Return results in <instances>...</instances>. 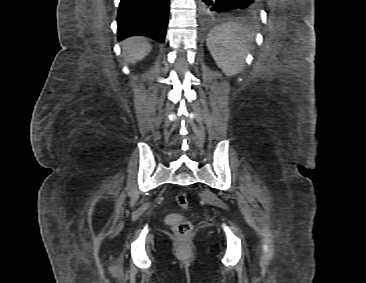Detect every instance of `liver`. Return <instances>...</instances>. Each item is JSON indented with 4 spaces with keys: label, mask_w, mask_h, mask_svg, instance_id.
I'll use <instances>...</instances> for the list:
<instances>
[{
    "label": "liver",
    "mask_w": 366,
    "mask_h": 283,
    "mask_svg": "<svg viewBox=\"0 0 366 283\" xmlns=\"http://www.w3.org/2000/svg\"><path fill=\"white\" fill-rule=\"evenodd\" d=\"M123 54L127 62L136 63L146 57L151 51V44L141 36H133L122 42Z\"/></svg>",
    "instance_id": "liver-1"
}]
</instances>
